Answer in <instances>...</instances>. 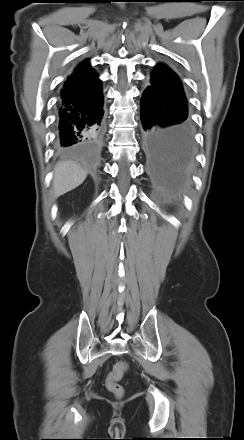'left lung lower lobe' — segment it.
Returning <instances> with one entry per match:
<instances>
[{"label": "left lung lower lobe", "instance_id": "1", "mask_svg": "<svg viewBox=\"0 0 244 440\" xmlns=\"http://www.w3.org/2000/svg\"><path fill=\"white\" fill-rule=\"evenodd\" d=\"M140 116L145 152L154 171L177 180L188 178L195 156L188 109L148 86L142 95Z\"/></svg>", "mask_w": 244, "mask_h": 440}]
</instances>
